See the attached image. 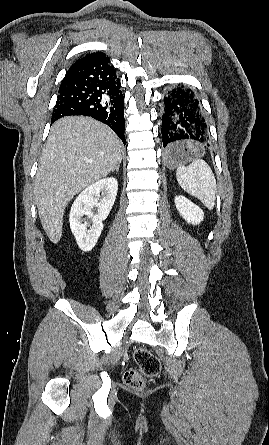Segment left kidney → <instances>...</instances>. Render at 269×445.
<instances>
[{
	"mask_svg": "<svg viewBox=\"0 0 269 445\" xmlns=\"http://www.w3.org/2000/svg\"><path fill=\"white\" fill-rule=\"evenodd\" d=\"M175 205L180 215L187 221V223L197 225L203 221V211L186 197L176 196Z\"/></svg>",
	"mask_w": 269,
	"mask_h": 445,
	"instance_id": "obj_1",
	"label": "left kidney"
}]
</instances>
